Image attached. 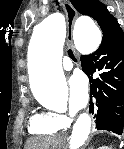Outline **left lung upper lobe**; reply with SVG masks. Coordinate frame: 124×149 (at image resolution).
<instances>
[{"label":"left lung upper lobe","mask_w":124,"mask_h":149,"mask_svg":"<svg viewBox=\"0 0 124 149\" xmlns=\"http://www.w3.org/2000/svg\"><path fill=\"white\" fill-rule=\"evenodd\" d=\"M73 6L78 12L94 18L99 24L103 39L100 46L114 43L124 38V33L118 24V21L113 17L106 6L98 0H71Z\"/></svg>","instance_id":"5c2ea615"}]
</instances>
